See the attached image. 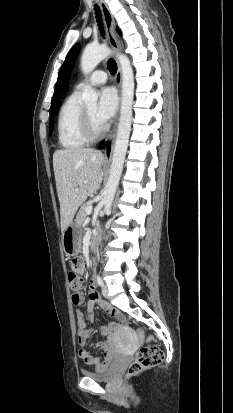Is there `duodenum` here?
Here are the masks:
<instances>
[{"instance_id":"obj_1","label":"duodenum","mask_w":233,"mask_h":413,"mask_svg":"<svg viewBox=\"0 0 233 413\" xmlns=\"http://www.w3.org/2000/svg\"><path fill=\"white\" fill-rule=\"evenodd\" d=\"M97 243H98V239L97 238H92L89 242L90 248L94 249L96 247Z\"/></svg>"}]
</instances>
